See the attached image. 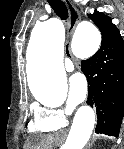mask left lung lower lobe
Wrapping results in <instances>:
<instances>
[{
    "label": "left lung lower lobe",
    "mask_w": 124,
    "mask_h": 149,
    "mask_svg": "<svg viewBox=\"0 0 124 149\" xmlns=\"http://www.w3.org/2000/svg\"><path fill=\"white\" fill-rule=\"evenodd\" d=\"M88 81L87 103L96 107L95 132L117 137L124 116V41L102 38L100 49L81 62Z\"/></svg>",
    "instance_id": "left-lung-lower-lobe-1"
}]
</instances>
